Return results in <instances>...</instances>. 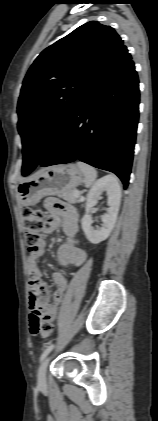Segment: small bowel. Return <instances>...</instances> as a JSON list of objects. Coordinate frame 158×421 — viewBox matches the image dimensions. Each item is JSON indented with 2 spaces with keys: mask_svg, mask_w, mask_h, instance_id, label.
Wrapping results in <instances>:
<instances>
[{
  "mask_svg": "<svg viewBox=\"0 0 158 421\" xmlns=\"http://www.w3.org/2000/svg\"><path fill=\"white\" fill-rule=\"evenodd\" d=\"M46 207L50 215L46 221L45 232L51 233L62 227L66 235L57 250V259L61 267H79L87 258V253L78 247L76 235L79 229L78 214L70 205L58 199L49 198L46 200ZM45 251V242L42 241L38 249L31 253L28 259L29 272V322L30 330L35 334V329L43 322H53L58 314V305L61 303L63 294L67 288V281L62 271L53 274V283L56 287L52 295L47 285L42 280V273L38 260Z\"/></svg>",
  "mask_w": 158,
  "mask_h": 421,
  "instance_id": "1",
  "label": "small bowel"
}]
</instances>
